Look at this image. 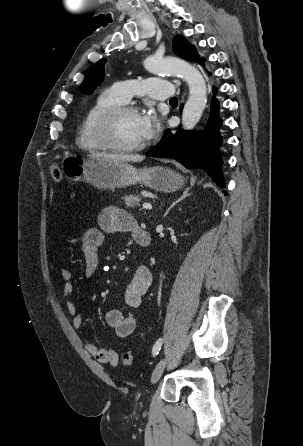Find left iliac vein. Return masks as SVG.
Masks as SVG:
<instances>
[{
	"mask_svg": "<svg viewBox=\"0 0 303 446\" xmlns=\"http://www.w3.org/2000/svg\"><path fill=\"white\" fill-rule=\"evenodd\" d=\"M168 359H169V357H165V358L161 359L155 366V368L152 372V375H151V382L153 384L156 383L160 379V377L166 367Z\"/></svg>",
	"mask_w": 303,
	"mask_h": 446,
	"instance_id": "left-iliac-vein-1",
	"label": "left iliac vein"
}]
</instances>
